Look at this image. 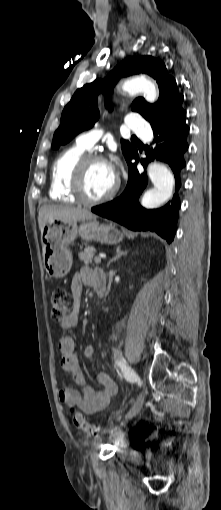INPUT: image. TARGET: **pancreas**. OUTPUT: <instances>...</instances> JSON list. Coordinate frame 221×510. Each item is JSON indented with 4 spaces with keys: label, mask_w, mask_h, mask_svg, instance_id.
<instances>
[{
    "label": "pancreas",
    "mask_w": 221,
    "mask_h": 510,
    "mask_svg": "<svg viewBox=\"0 0 221 510\" xmlns=\"http://www.w3.org/2000/svg\"><path fill=\"white\" fill-rule=\"evenodd\" d=\"M96 252L95 247L89 246L84 249V251L78 254L79 259L84 262L86 265L92 264L93 256Z\"/></svg>",
    "instance_id": "obj_1"
}]
</instances>
